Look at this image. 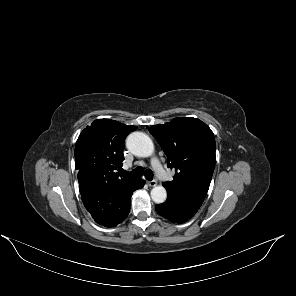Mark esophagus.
Segmentation results:
<instances>
[{"label":"esophagus","mask_w":296,"mask_h":296,"mask_svg":"<svg viewBox=\"0 0 296 296\" xmlns=\"http://www.w3.org/2000/svg\"><path fill=\"white\" fill-rule=\"evenodd\" d=\"M147 184H148L150 187H154V186L157 185V180L154 179V180H152V181H147Z\"/></svg>","instance_id":"34e87169"}]
</instances>
